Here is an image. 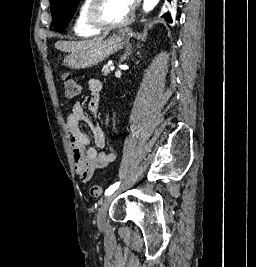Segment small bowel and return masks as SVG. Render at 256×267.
Returning <instances> with one entry per match:
<instances>
[{"mask_svg":"<svg viewBox=\"0 0 256 267\" xmlns=\"http://www.w3.org/2000/svg\"><path fill=\"white\" fill-rule=\"evenodd\" d=\"M88 90L90 92L88 109L95 116L99 107L102 82L96 78L90 79ZM81 121L87 123L94 146L91 145L90 137L81 130L79 126ZM65 130L72 149L75 171L84 182H87L95 171L103 169L116 159L114 153L103 150L106 146L105 134L100 125L85 114L80 103L73 105L66 118Z\"/></svg>","mask_w":256,"mask_h":267,"instance_id":"1","label":"small bowel"}]
</instances>
